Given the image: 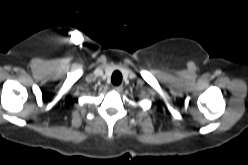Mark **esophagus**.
<instances>
[{
	"label": "esophagus",
	"mask_w": 248,
	"mask_h": 165,
	"mask_svg": "<svg viewBox=\"0 0 248 165\" xmlns=\"http://www.w3.org/2000/svg\"><path fill=\"white\" fill-rule=\"evenodd\" d=\"M114 90H115L116 92H118V93H121L122 90H123V86H122V85H120V86H115V87H114Z\"/></svg>",
	"instance_id": "34e87169"
}]
</instances>
